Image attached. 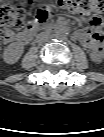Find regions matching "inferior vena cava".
Masks as SVG:
<instances>
[{
  "label": "inferior vena cava",
  "instance_id": "obj_1",
  "mask_svg": "<svg viewBox=\"0 0 104 137\" xmlns=\"http://www.w3.org/2000/svg\"><path fill=\"white\" fill-rule=\"evenodd\" d=\"M38 41L40 44L45 45L48 42V38L45 35H41V36H39Z\"/></svg>",
  "mask_w": 104,
  "mask_h": 137
}]
</instances>
